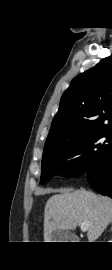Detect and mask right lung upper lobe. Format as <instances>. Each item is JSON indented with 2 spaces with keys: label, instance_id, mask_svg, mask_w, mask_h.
Masks as SVG:
<instances>
[{
  "label": "right lung upper lobe",
  "instance_id": "1",
  "mask_svg": "<svg viewBox=\"0 0 112 270\" xmlns=\"http://www.w3.org/2000/svg\"><path fill=\"white\" fill-rule=\"evenodd\" d=\"M108 125L112 126V55L72 80L61 97L45 147Z\"/></svg>",
  "mask_w": 112,
  "mask_h": 270
}]
</instances>
